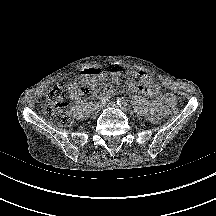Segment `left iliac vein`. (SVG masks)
Segmentation results:
<instances>
[{"label":"left iliac vein","instance_id":"4c4485c4","mask_svg":"<svg viewBox=\"0 0 216 216\" xmlns=\"http://www.w3.org/2000/svg\"><path fill=\"white\" fill-rule=\"evenodd\" d=\"M104 106H106V107H118L116 102H114V101H107L104 103ZM120 109L125 111V112L127 111L126 107H120Z\"/></svg>","mask_w":216,"mask_h":216}]
</instances>
